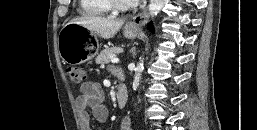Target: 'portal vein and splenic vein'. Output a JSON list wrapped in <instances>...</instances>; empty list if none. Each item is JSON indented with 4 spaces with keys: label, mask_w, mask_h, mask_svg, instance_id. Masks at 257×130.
<instances>
[{
    "label": "portal vein and splenic vein",
    "mask_w": 257,
    "mask_h": 130,
    "mask_svg": "<svg viewBox=\"0 0 257 130\" xmlns=\"http://www.w3.org/2000/svg\"><path fill=\"white\" fill-rule=\"evenodd\" d=\"M111 62H112V63H118V62H119V59L116 58V57H112Z\"/></svg>",
    "instance_id": "18ae733b"
}]
</instances>
